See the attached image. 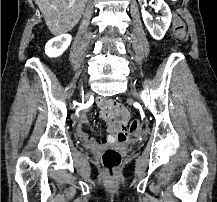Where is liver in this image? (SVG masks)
Segmentation results:
<instances>
[{
    "label": "liver",
    "mask_w": 217,
    "mask_h": 202,
    "mask_svg": "<svg viewBox=\"0 0 217 202\" xmlns=\"http://www.w3.org/2000/svg\"><path fill=\"white\" fill-rule=\"evenodd\" d=\"M88 0H35L45 24L54 34L61 36L78 24Z\"/></svg>",
    "instance_id": "obj_1"
}]
</instances>
